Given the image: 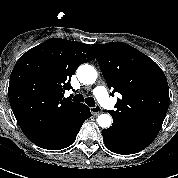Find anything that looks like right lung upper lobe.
<instances>
[{
  "label": "right lung upper lobe",
  "instance_id": "obj_1",
  "mask_svg": "<svg viewBox=\"0 0 178 178\" xmlns=\"http://www.w3.org/2000/svg\"><path fill=\"white\" fill-rule=\"evenodd\" d=\"M95 58L89 44L49 39L24 53L15 64L8 96L15 118L26 137L37 141L71 130L82 103L63 98L79 65Z\"/></svg>",
  "mask_w": 178,
  "mask_h": 178
}]
</instances>
